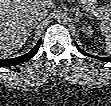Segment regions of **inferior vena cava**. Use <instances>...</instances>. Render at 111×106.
<instances>
[{"label":"inferior vena cava","instance_id":"1","mask_svg":"<svg viewBox=\"0 0 111 106\" xmlns=\"http://www.w3.org/2000/svg\"><path fill=\"white\" fill-rule=\"evenodd\" d=\"M48 15V10L44 6H37L32 11V16L35 21H40Z\"/></svg>","mask_w":111,"mask_h":106}]
</instances>
